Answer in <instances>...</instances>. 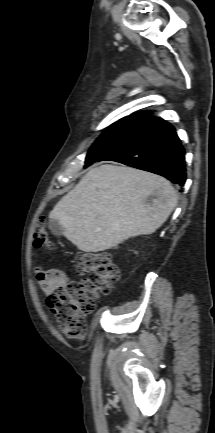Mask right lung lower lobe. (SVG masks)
Wrapping results in <instances>:
<instances>
[{
    "mask_svg": "<svg viewBox=\"0 0 215 433\" xmlns=\"http://www.w3.org/2000/svg\"><path fill=\"white\" fill-rule=\"evenodd\" d=\"M184 155L174 127L161 118L153 117L129 144L104 160L164 176L182 187L186 181Z\"/></svg>",
    "mask_w": 215,
    "mask_h": 433,
    "instance_id": "obj_1",
    "label": "right lung lower lobe"
}]
</instances>
